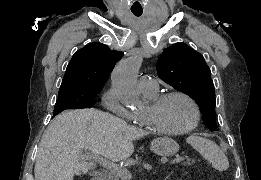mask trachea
<instances>
[{
    "label": "trachea",
    "instance_id": "obj_1",
    "mask_svg": "<svg viewBox=\"0 0 261 180\" xmlns=\"http://www.w3.org/2000/svg\"><path fill=\"white\" fill-rule=\"evenodd\" d=\"M133 15H135L136 17H140L142 15V10H131Z\"/></svg>",
    "mask_w": 261,
    "mask_h": 180
}]
</instances>
